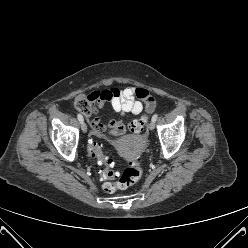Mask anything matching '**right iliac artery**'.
<instances>
[{
    "mask_svg": "<svg viewBox=\"0 0 248 248\" xmlns=\"http://www.w3.org/2000/svg\"><path fill=\"white\" fill-rule=\"evenodd\" d=\"M77 118H78V120L80 121V123H83V117H82V115L81 114H78L77 115Z\"/></svg>",
    "mask_w": 248,
    "mask_h": 248,
    "instance_id": "obj_1",
    "label": "right iliac artery"
}]
</instances>
